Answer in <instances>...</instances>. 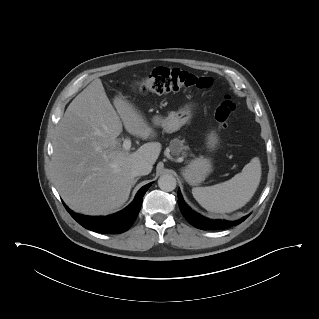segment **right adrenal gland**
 Wrapping results in <instances>:
<instances>
[{"instance_id": "1", "label": "right adrenal gland", "mask_w": 319, "mask_h": 319, "mask_svg": "<svg viewBox=\"0 0 319 319\" xmlns=\"http://www.w3.org/2000/svg\"><path fill=\"white\" fill-rule=\"evenodd\" d=\"M138 180H139V177L134 180L133 186L136 184Z\"/></svg>"}]
</instances>
